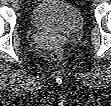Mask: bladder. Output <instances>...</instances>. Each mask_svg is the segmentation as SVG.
Returning a JSON list of instances; mask_svg holds the SVG:
<instances>
[{"label":"bladder","mask_w":111,"mask_h":106,"mask_svg":"<svg viewBox=\"0 0 111 106\" xmlns=\"http://www.w3.org/2000/svg\"><path fill=\"white\" fill-rule=\"evenodd\" d=\"M30 21L40 30L74 34L82 30L84 19L80 10L71 2L42 0L31 11Z\"/></svg>","instance_id":"obj_1"}]
</instances>
